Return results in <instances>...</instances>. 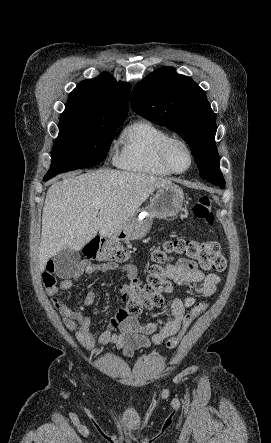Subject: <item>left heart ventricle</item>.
Returning <instances> with one entry per match:
<instances>
[{
  "instance_id": "obj_1",
  "label": "left heart ventricle",
  "mask_w": 271,
  "mask_h": 443,
  "mask_svg": "<svg viewBox=\"0 0 271 443\" xmlns=\"http://www.w3.org/2000/svg\"><path fill=\"white\" fill-rule=\"evenodd\" d=\"M169 159L177 170H186L191 164V156L184 144L174 142L169 148Z\"/></svg>"
}]
</instances>
